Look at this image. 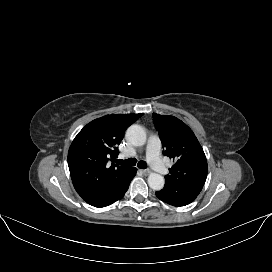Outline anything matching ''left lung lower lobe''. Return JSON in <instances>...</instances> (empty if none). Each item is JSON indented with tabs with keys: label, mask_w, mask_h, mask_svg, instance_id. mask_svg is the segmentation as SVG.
Wrapping results in <instances>:
<instances>
[{
	"label": "left lung lower lobe",
	"mask_w": 272,
	"mask_h": 272,
	"mask_svg": "<svg viewBox=\"0 0 272 272\" xmlns=\"http://www.w3.org/2000/svg\"><path fill=\"white\" fill-rule=\"evenodd\" d=\"M201 186H176L166 185L164 188L156 192V196L173 206H185L193 202L200 191Z\"/></svg>",
	"instance_id": "0a47b994"
}]
</instances>
